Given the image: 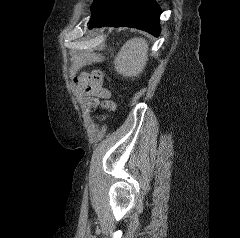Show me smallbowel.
<instances>
[{"label":"small bowel","instance_id":"1","mask_svg":"<svg viewBox=\"0 0 240 238\" xmlns=\"http://www.w3.org/2000/svg\"><path fill=\"white\" fill-rule=\"evenodd\" d=\"M76 82H79L83 94L94 96L92 101L95 106L100 105L107 110H115L116 104L110 100V91L102 86V77L99 72L85 74Z\"/></svg>","mask_w":240,"mask_h":238}]
</instances>
